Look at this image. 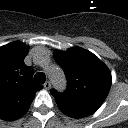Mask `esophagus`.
Listing matches in <instances>:
<instances>
[{
  "label": "esophagus",
  "instance_id": "obj_1",
  "mask_svg": "<svg viewBox=\"0 0 128 128\" xmlns=\"http://www.w3.org/2000/svg\"><path fill=\"white\" fill-rule=\"evenodd\" d=\"M44 88H45L46 90H49V89L51 88V83H50L49 81H46V82L44 83Z\"/></svg>",
  "mask_w": 128,
  "mask_h": 128
}]
</instances>
